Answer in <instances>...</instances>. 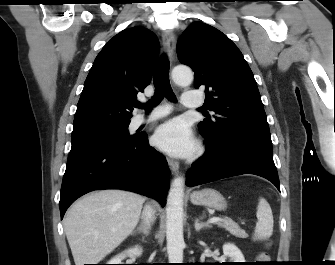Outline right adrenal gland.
<instances>
[{
	"mask_svg": "<svg viewBox=\"0 0 335 265\" xmlns=\"http://www.w3.org/2000/svg\"><path fill=\"white\" fill-rule=\"evenodd\" d=\"M143 218V217H142ZM151 226L148 222L143 221L141 223V225L132 232V234H136V233H142L145 236H148L149 232H150Z\"/></svg>",
	"mask_w": 335,
	"mask_h": 265,
	"instance_id": "right-adrenal-gland-1",
	"label": "right adrenal gland"
}]
</instances>
